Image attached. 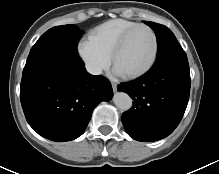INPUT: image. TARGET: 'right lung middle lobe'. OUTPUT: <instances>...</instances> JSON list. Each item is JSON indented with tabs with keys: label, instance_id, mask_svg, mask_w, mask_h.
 Masks as SVG:
<instances>
[{
	"label": "right lung middle lobe",
	"instance_id": "dd1d6c3e",
	"mask_svg": "<svg viewBox=\"0 0 219 174\" xmlns=\"http://www.w3.org/2000/svg\"><path fill=\"white\" fill-rule=\"evenodd\" d=\"M75 25L57 26L46 31L30 50L24 69L58 53H77V44L81 38Z\"/></svg>",
	"mask_w": 219,
	"mask_h": 174
}]
</instances>
